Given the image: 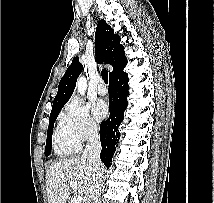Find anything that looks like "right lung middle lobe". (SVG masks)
Segmentation results:
<instances>
[{"instance_id": "1", "label": "right lung middle lobe", "mask_w": 214, "mask_h": 203, "mask_svg": "<svg viewBox=\"0 0 214 203\" xmlns=\"http://www.w3.org/2000/svg\"><path fill=\"white\" fill-rule=\"evenodd\" d=\"M59 112L50 115L49 118V127L47 132V141H46V148H45V156H48L51 152V145H52V131L54 127V122L58 116Z\"/></svg>"}]
</instances>
